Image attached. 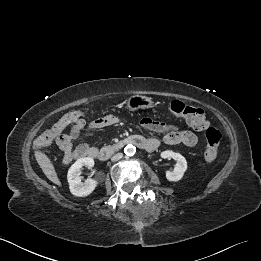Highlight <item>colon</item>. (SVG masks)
Returning <instances> with one entry per match:
<instances>
[{
    "label": "colon",
    "mask_w": 261,
    "mask_h": 261,
    "mask_svg": "<svg viewBox=\"0 0 261 261\" xmlns=\"http://www.w3.org/2000/svg\"><path fill=\"white\" fill-rule=\"evenodd\" d=\"M170 114L184 119L189 126L196 131H204L206 138V150L204 160L207 163L213 162L219 150L221 133L214 127H210L204 111L198 107L187 105L181 101L174 100L169 104ZM83 112L80 110L69 111L50 130L41 134L35 141L38 148L46 147L52 142L67 144L83 129ZM67 127H71L69 133H63Z\"/></svg>",
    "instance_id": "1"
}]
</instances>
